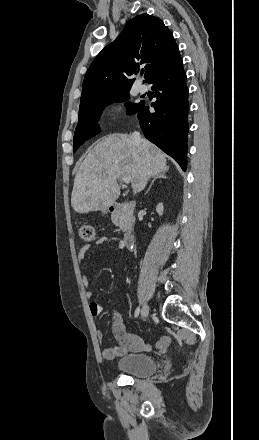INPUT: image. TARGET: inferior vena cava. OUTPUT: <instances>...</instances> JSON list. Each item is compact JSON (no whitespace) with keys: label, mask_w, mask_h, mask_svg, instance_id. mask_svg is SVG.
Instances as JSON below:
<instances>
[{"label":"inferior vena cava","mask_w":259,"mask_h":440,"mask_svg":"<svg viewBox=\"0 0 259 440\" xmlns=\"http://www.w3.org/2000/svg\"><path fill=\"white\" fill-rule=\"evenodd\" d=\"M132 136H133L134 141H135L136 143H140V142H141V136H140V133H139V132L135 131V132L132 134Z\"/></svg>","instance_id":"602c4592"}]
</instances>
